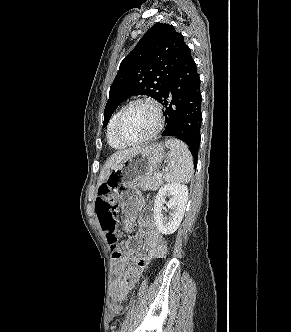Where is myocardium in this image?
I'll return each instance as SVG.
<instances>
[{"mask_svg":"<svg viewBox=\"0 0 291 332\" xmlns=\"http://www.w3.org/2000/svg\"><path fill=\"white\" fill-rule=\"evenodd\" d=\"M136 104H147L152 107V109L154 110L155 116H156V126H155L154 130L150 134L146 135L145 137H142L140 139L130 140V139L125 138L121 134L120 126H121V121H122L124 114L127 112V110L129 108H131L132 106H134ZM163 124H164V117H163L162 106L156 100H154L152 98H148V97L137 98V99L130 101L128 104H126L120 110V112L117 116L116 122H115V134H116V137L124 144H127V145L141 144V143H144V142L156 137L159 134V132L161 131Z\"/></svg>","mask_w":291,"mask_h":332,"instance_id":"f54148a6","label":"myocardium"}]
</instances>
